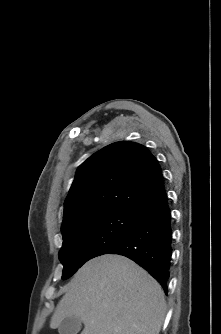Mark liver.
Segmentation results:
<instances>
[{
  "mask_svg": "<svg viewBox=\"0 0 221 334\" xmlns=\"http://www.w3.org/2000/svg\"><path fill=\"white\" fill-rule=\"evenodd\" d=\"M165 314L159 283L127 257L105 254L76 272L50 328L76 316L84 323L81 334H159Z\"/></svg>",
  "mask_w": 221,
  "mask_h": 334,
  "instance_id": "liver-1",
  "label": "liver"
}]
</instances>
